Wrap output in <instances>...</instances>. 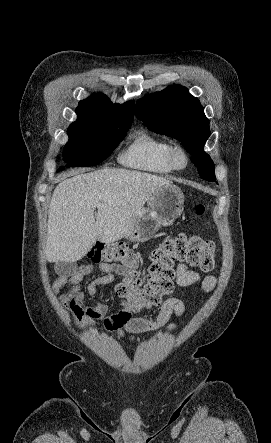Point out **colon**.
Wrapping results in <instances>:
<instances>
[{"label": "colon", "instance_id": "obj_1", "mask_svg": "<svg viewBox=\"0 0 271 443\" xmlns=\"http://www.w3.org/2000/svg\"><path fill=\"white\" fill-rule=\"evenodd\" d=\"M196 213L202 215L205 206L199 204ZM216 245L198 236L177 234L166 236L149 253L146 282L138 277L139 256L123 243L97 242L89 252L94 263H118L129 273L116 287V293L125 299L132 312L156 307L164 295L173 289L174 265L178 262L211 271L216 267Z\"/></svg>", "mask_w": 271, "mask_h": 443}]
</instances>
